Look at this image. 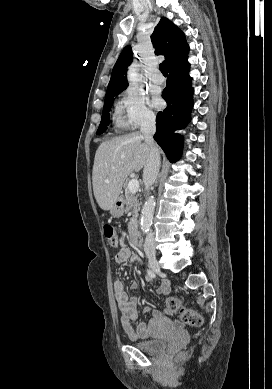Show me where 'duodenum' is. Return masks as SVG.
Wrapping results in <instances>:
<instances>
[{
	"label": "duodenum",
	"mask_w": 272,
	"mask_h": 389,
	"mask_svg": "<svg viewBox=\"0 0 272 389\" xmlns=\"http://www.w3.org/2000/svg\"><path fill=\"white\" fill-rule=\"evenodd\" d=\"M129 238L132 245L139 247L141 245L140 236L137 227H133L129 232Z\"/></svg>",
	"instance_id": "410a0bca"
}]
</instances>
